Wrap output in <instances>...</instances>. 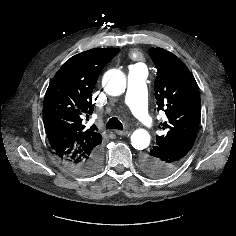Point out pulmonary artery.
Segmentation results:
<instances>
[{"label":"pulmonary artery","instance_id":"obj_1","mask_svg":"<svg viewBox=\"0 0 236 236\" xmlns=\"http://www.w3.org/2000/svg\"><path fill=\"white\" fill-rule=\"evenodd\" d=\"M147 77L148 70L142 64L129 67L128 89L124 101L132 114L144 125L151 124V117L147 108Z\"/></svg>","mask_w":236,"mask_h":236}]
</instances>
